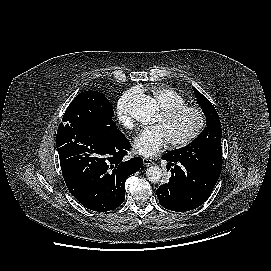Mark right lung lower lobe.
<instances>
[{"label": "right lung lower lobe", "mask_w": 271, "mask_h": 271, "mask_svg": "<svg viewBox=\"0 0 271 271\" xmlns=\"http://www.w3.org/2000/svg\"><path fill=\"white\" fill-rule=\"evenodd\" d=\"M56 146L70 193L93 211L119 207L125 199L127 177L143 164L140 157L123 160L131 145L117 128L89 127L80 121L62 122Z\"/></svg>", "instance_id": "right-lung-lower-lobe-1"}]
</instances>
